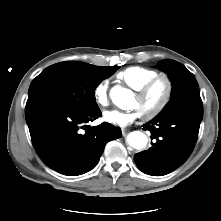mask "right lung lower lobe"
Returning <instances> with one entry per match:
<instances>
[{"label": "right lung lower lobe", "instance_id": "obj_1", "mask_svg": "<svg viewBox=\"0 0 221 221\" xmlns=\"http://www.w3.org/2000/svg\"><path fill=\"white\" fill-rule=\"evenodd\" d=\"M102 115L100 109L81 112L52 104L26 105L25 116L33 146L51 169L69 176L90 171L107 142L122 133L109 123L87 125Z\"/></svg>", "mask_w": 221, "mask_h": 221}]
</instances>
